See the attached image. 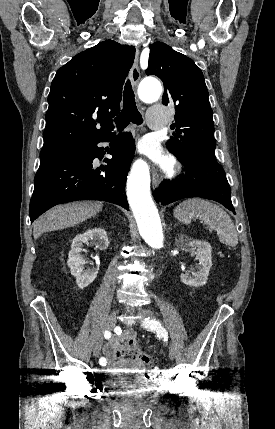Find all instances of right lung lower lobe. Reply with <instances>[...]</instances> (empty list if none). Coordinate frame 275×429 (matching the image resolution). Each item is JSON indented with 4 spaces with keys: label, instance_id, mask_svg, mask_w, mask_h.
Listing matches in <instances>:
<instances>
[{
    "label": "right lung lower lobe",
    "instance_id": "right-lung-lower-lobe-1",
    "mask_svg": "<svg viewBox=\"0 0 275 429\" xmlns=\"http://www.w3.org/2000/svg\"><path fill=\"white\" fill-rule=\"evenodd\" d=\"M100 142H111L110 150L98 147ZM105 151L113 158L94 168L93 160H101ZM134 151L129 133L117 139L108 133L41 159L30 201L31 222L51 207L75 200H103L129 210L125 183Z\"/></svg>",
    "mask_w": 275,
    "mask_h": 429
}]
</instances>
